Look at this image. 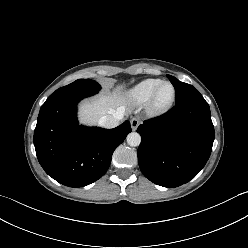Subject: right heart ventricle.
<instances>
[{
	"label": "right heart ventricle",
	"instance_id": "right-heart-ventricle-1",
	"mask_svg": "<svg viewBox=\"0 0 248 248\" xmlns=\"http://www.w3.org/2000/svg\"><path fill=\"white\" fill-rule=\"evenodd\" d=\"M162 82L160 79H144L132 86L125 94L127 102L133 105H143L148 102L154 90Z\"/></svg>",
	"mask_w": 248,
	"mask_h": 248
}]
</instances>
